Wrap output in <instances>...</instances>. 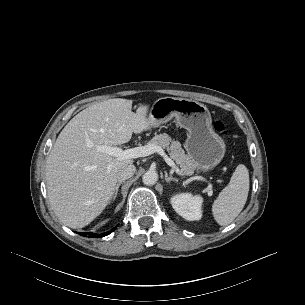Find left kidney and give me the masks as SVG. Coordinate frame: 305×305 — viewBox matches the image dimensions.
Here are the masks:
<instances>
[{"label":"left kidney","instance_id":"obj_1","mask_svg":"<svg viewBox=\"0 0 305 305\" xmlns=\"http://www.w3.org/2000/svg\"><path fill=\"white\" fill-rule=\"evenodd\" d=\"M203 199L190 193L177 194L171 198V204L176 213L188 221L200 220L202 217Z\"/></svg>","mask_w":305,"mask_h":305}]
</instances>
